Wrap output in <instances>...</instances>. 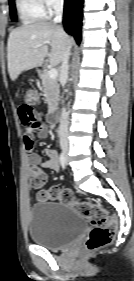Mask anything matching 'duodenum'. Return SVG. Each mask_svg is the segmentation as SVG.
Here are the masks:
<instances>
[{"mask_svg": "<svg viewBox=\"0 0 134 281\" xmlns=\"http://www.w3.org/2000/svg\"><path fill=\"white\" fill-rule=\"evenodd\" d=\"M48 122L51 125H56L58 122V114L55 108L51 109L48 115Z\"/></svg>", "mask_w": 134, "mask_h": 281, "instance_id": "obj_1", "label": "duodenum"}]
</instances>
